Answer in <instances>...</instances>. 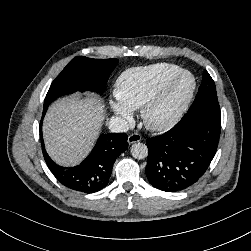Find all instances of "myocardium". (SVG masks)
<instances>
[{
	"mask_svg": "<svg viewBox=\"0 0 251 251\" xmlns=\"http://www.w3.org/2000/svg\"><path fill=\"white\" fill-rule=\"evenodd\" d=\"M188 78L190 83L176 107L164 118L154 119L153 112L172 93L176 86ZM196 89V79L192 73L183 70L159 87L141 107L144 125L152 131H166L172 128L185 114Z\"/></svg>",
	"mask_w": 251,
	"mask_h": 251,
	"instance_id": "f54148a6",
	"label": "myocardium"
}]
</instances>
